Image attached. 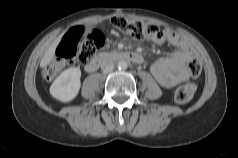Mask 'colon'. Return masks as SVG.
<instances>
[{
	"mask_svg": "<svg viewBox=\"0 0 238 158\" xmlns=\"http://www.w3.org/2000/svg\"><path fill=\"white\" fill-rule=\"evenodd\" d=\"M114 27L122 34L137 40H153L162 34L155 24L115 17L112 19ZM105 37L97 29L85 26H77L66 32L60 39L55 57L44 67L43 76L46 80H52L66 65L77 60L81 64L89 63L97 49L104 44ZM187 69L192 77L197 78L201 74L202 64L198 59H191ZM196 91L195 83H187L175 91V101L179 104L188 103Z\"/></svg>",
	"mask_w": 238,
	"mask_h": 158,
	"instance_id": "colon-1",
	"label": "colon"
}]
</instances>
